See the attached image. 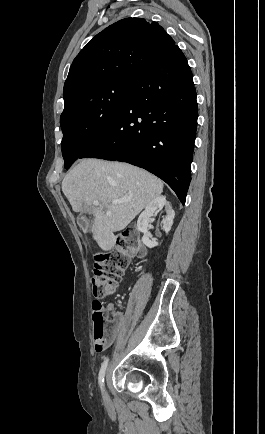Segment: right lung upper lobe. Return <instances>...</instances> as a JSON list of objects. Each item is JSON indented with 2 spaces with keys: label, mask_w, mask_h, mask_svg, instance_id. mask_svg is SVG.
<instances>
[{
  "label": "right lung upper lobe",
  "mask_w": 265,
  "mask_h": 434,
  "mask_svg": "<svg viewBox=\"0 0 265 434\" xmlns=\"http://www.w3.org/2000/svg\"><path fill=\"white\" fill-rule=\"evenodd\" d=\"M174 45V40L157 22L143 18L120 20L97 34L76 56L64 93L108 76L136 77Z\"/></svg>",
  "instance_id": "cb5924a9"
}]
</instances>
